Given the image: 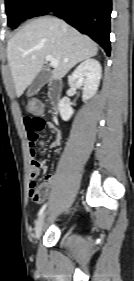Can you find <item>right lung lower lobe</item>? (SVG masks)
I'll return each instance as SVG.
<instances>
[{
    "instance_id": "obj_1",
    "label": "right lung lower lobe",
    "mask_w": 134,
    "mask_h": 281,
    "mask_svg": "<svg viewBox=\"0 0 134 281\" xmlns=\"http://www.w3.org/2000/svg\"><path fill=\"white\" fill-rule=\"evenodd\" d=\"M50 12L92 37L110 55L111 0H38L30 18Z\"/></svg>"
}]
</instances>
